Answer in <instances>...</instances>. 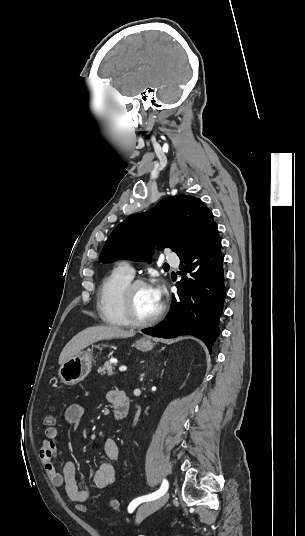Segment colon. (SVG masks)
<instances>
[{
	"label": "colon",
	"mask_w": 305,
	"mask_h": 536,
	"mask_svg": "<svg viewBox=\"0 0 305 536\" xmlns=\"http://www.w3.org/2000/svg\"><path fill=\"white\" fill-rule=\"evenodd\" d=\"M43 423L47 427L52 426L54 424V417L52 415H50V414L45 415V417L43 419ZM75 506L77 507L78 511H80V512H85L87 510V505L85 503H81L80 501H77L75 503ZM112 506L116 507L117 503L112 502Z\"/></svg>",
	"instance_id": "5ec220e1"
}]
</instances>
